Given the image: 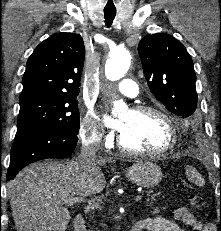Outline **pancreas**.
<instances>
[{"mask_svg": "<svg viewBox=\"0 0 221 231\" xmlns=\"http://www.w3.org/2000/svg\"><path fill=\"white\" fill-rule=\"evenodd\" d=\"M159 196V194H153V195H151V197L148 199V201H152V200H154L155 199V197H158Z\"/></svg>", "mask_w": 221, "mask_h": 231, "instance_id": "cf45deb5", "label": "pancreas"}]
</instances>
